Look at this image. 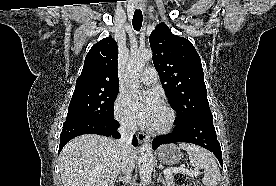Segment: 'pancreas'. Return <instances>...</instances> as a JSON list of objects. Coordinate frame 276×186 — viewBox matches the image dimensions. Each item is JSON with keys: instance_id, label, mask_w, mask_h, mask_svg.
<instances>
[{"instance_id": "cf45deb5", "label": "pancreas", "mask_w": 276, "mask_h": 186, "mask_svg": "<svg viewBox=\"0 0 276 186\" xmlns=\"http://www.w3.org/2000/svg\"><path fill=\"white\" fill-rule=\"evenodd\" d=\"M167 186H175L173 181V176L166 177Z\"/></svg>"}]
</instances>
